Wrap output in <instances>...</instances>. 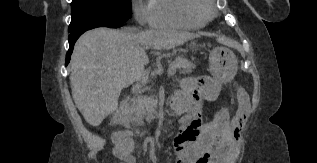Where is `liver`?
<instances>
[{
  "instance_id": "6515ba94",
  "label": "liver",
  "mask_w": 317,
  "mask_h": 163,
  "mask_svg": "<svg viewBox=\"0 0 317 163\" xmlns=\"http://www.w3.org/2000/svg\"><path fill=\"white\" fill-rule=\"evenodd\" d=\"M197 37L189 32L103 27L85 32L71 56L70 84L86 122L99 126L116 111L122 89L140 80L149 62L145 48L171 49Z\"/></svg>"
}]
</instances>
